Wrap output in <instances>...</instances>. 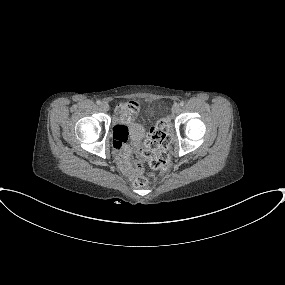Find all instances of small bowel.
<instances>
[{"instance_id":"obj_1","label":"small bowel","mask_w":285,"mask_h":285,"mask_svg":"<svg viewBox=\"0 0 285 285\" xmlns=\"http://www.w3.org/2000/svg\"><path fill=\"white\" fill-rule=\"evenodd\" d=\"M130 118L124 116L120 119V122L113 128L112 137H113V144H114V153L116 157L120 161L121 169L126 177L129 179H133L136 175V171L132 168V164L130 163L128 157L131 152V149L137 148L139 145L138 140L134 141L133 143H125L121 144L119 139L126 135L127 133V122Z\"/></svg>"}]
</instances>
